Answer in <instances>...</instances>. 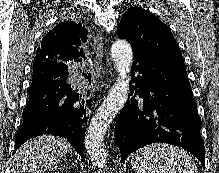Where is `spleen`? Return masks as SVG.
Returning <instances> with one entry per match:
<instances>
[{"instance_id": "spleen-1", "label": "spleen", "mask_w": 219, "mask_h": 173, "mask_svg": "<svg viewBox=\"0 0 219 173\" xmlns=\"http://www.w3.org/2000/svg\"><path fill=\"white\" fill-rule=\"evenodd\" d=\"M131 165L136 173H198L197 166L183 149L161 143L138 149Z\"/></svg>"}]
</instances>
